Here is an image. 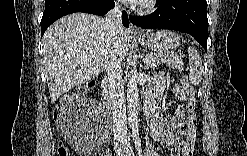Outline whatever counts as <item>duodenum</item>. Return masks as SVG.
Returning a JSON list of instances; mask_svg holds the SVG:
<instances>
[{
  "label": "duodenum",
  "instance_id": "1",
  "mask_svg": "<svg viewBox=\"0 0 247 156\" xmlns=\"http://www.w3.org/2000/svg\"><path fill=\"white\" fill-rule=\"evenodd\" d=\"M102 94L103 96L105 97L106 99V105H109L110 104V97H111V87H110V84H109V81L106 79L104 82H103V85H102ZM151 110L149 108H145L144 109V115L147 119H149L151 117Z\"/></svg>",
  "mask_w": 247,
  "mask_h": 156
}]
</instances>
